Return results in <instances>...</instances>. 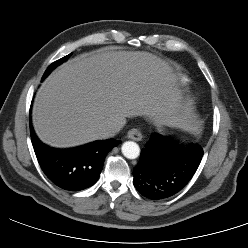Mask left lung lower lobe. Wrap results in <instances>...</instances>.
<instances>
[{
    "label": "left lung lower lobe",
    "instance_id": "1",
    "mask_svg": "<svg viewBox=\"0 0 248 248\" xmlns=\"http://www.w3.org/2000/svg\"><path fill=\"white\" fill-rule=\"evenodd\" d=\"M203 154V147L197 143L178 144L172 138L152 133L134 167V186L146 198H169L188 184Z\"/></svg>",
    "mask_w": 248,
    "mask_h": 248
}]
</instances>
